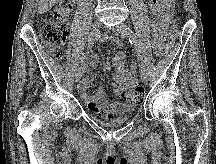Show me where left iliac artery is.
<instances>
[{"label":"left iliac artery","mask_w":216,"mask_h":164,"mask_svg":"<svg viewBox=\"0 0 216 164\" xmlns=\"http://www.w3.org/2000/svg\"><path fill=\"white\" fill-rule=\"evenodd\" d=\"M128 38H129V42L131 43V45L136 47L137 46L136 35L134 34V32L132 30H130ZM136 56L138 59L141 58V56L138 53H136ZM138 66L140 67L141 70L145 69V66L143 65L142 62H139Z\"/></svg>","instance_id":"obj_1"}]
</instances>
